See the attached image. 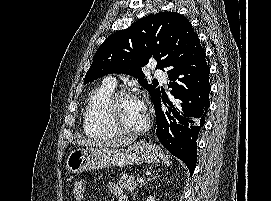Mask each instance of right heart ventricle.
Segmentation results:
<instances>
[{"label":"right heart ventricle","instance_id":"e07e8e85","mask_svg":"<svg viewBox=\"0 0 271 201\" xmlns=\"http://www.w3.org/2000/svg\"><path fill=\"white\" fill-rule=\"evenodd\" d=\"M113 93L114 88L102 85L90 95L83 114V127L87 136L106 140L120 135L106 114V105Z\"/></svg>","mask_w":271,"mask_h":201}]
</instances>
